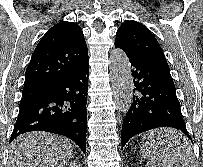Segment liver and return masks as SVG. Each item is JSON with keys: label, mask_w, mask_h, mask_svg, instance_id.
Here are the masks:
<instances>
[{"label": "liver", "mask_w": 203, "mask_h": 167, "mask_svg": "<svg viewBox=\"0 0 203 167\" xmlns=\"http://www.w3.org/2000/svg\"><path fill=\"white\" fill-rule=\"evenodd\" d=\"M179 132L161 128L144 135L163 157L162 148ZM73 148L68 139L47 132H30L20 135L10 145L8 167H65L72 158ZM179 162L174 165H184Z\"/></svg>", "instance_id": "liver-1"}]
</instances>
